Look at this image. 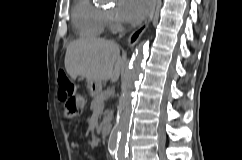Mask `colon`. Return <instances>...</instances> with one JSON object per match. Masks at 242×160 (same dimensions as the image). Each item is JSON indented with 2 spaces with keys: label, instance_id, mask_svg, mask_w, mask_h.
I'll return each mask as SVG.
<instances>
[{
  "label": "colon",
  "instance_id": "colon-1",
  "mask_svg": "<svg viewBox=\"0 0 242 160\" xmlns=\"http://www.w3.org/2000/svg\"><path fill=\"white\" fill-rule=\"evenodd\" d=\"M57 79L59 84L58 98L64 103L65 112L68 115L76 114L80 103L74 96L75 88L73 83L65 72H59Z\"/></svg>",
  "mask_w": 242,
  "mask_h": 160
}]
</instances>
